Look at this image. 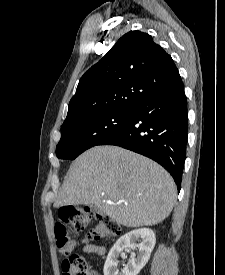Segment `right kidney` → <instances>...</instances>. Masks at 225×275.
I'll list each match as a JSON object with an SVG mask.
<instances>
[{"label":"right kidney","instance_id":"ca27d5eb","mask_svg":"<svg viewBox=\"0 0 225 275\" xmlns=\"http://www.w3.org/2000/svg\"><path fill=\"white\" fill-rule=\"evenodd\" d=\"M155 242V233L149 228L136 229L121 236L108 253L103 269L104 275H138L148 262ZM124 249H138L139 253L136 256L131 252L128 263L119 270L118 259Z\"/></svg>","mask_w":225,"mask_h":275}]
</instances>
